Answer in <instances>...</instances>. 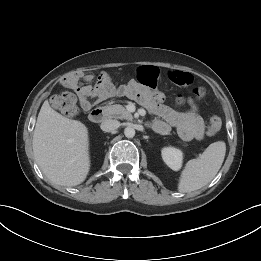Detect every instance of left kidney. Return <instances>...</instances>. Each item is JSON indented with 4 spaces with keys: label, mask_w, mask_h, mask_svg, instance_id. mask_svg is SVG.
Returning <instances> with one entry per match:
<instances>
[{
    "label": "left kidney",
    "mask_w": 261,
    "mask_h": 261,
    "mask_svg": "<svg viewBox=\"0 0 261 261\" xmlns=\"http://www.w3.org/2000/svg\"><path fill=\"white\" fill-rule=\"evenodd\" d=\"M163 161L174 171L182 167L183 153L174 147H165L161 151Z\"/></svg>",
    "instance_id": "1"
}]
</instances>
